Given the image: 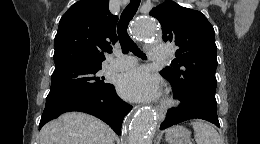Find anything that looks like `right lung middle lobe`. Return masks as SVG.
I'll use <instances>...</instances> for the list:
<instances>
[{
    "label": "right lung middle lobe",
    "mask_w": 260,
    "mask_h": 144,
    "mask_svg": "<svg viewBox=\"0 0 260 144\" xmlns=\"http://www.w3.org/2000/svg\"><path fill=\"white\" fill-rule=\"evenodd\" d=\"M101 65L75 64L55 69L52 74L51 88L47 97L81 94L93 95L107 91L112 84L105 83L99 76Z\"/></svg>",
    "instance_id": "obj_1"
}]
</instances>
